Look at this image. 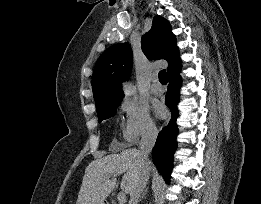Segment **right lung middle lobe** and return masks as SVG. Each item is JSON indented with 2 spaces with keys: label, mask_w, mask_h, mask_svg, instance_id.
Instances as JSON below:
<instances>
[{
  "label": "right lung middle lobe",
  "mask_w": 261,
  "mask_h": 204,
  "mask_svg": "<svg viewBox=\"0 0 261 204\" xmlns=\"http://www.w3.org/2000/svg\"><path fill=\"white\" fill-rule=\"evenodd\" d=\"M123 98L110 102V103H104L101 105L96 106L97 114L99 117V122H101L104 119L110 118L115 115L117 107L120 105Z\"/></svg>",
  "instance_id": "obj_1"
}]
</instances>
